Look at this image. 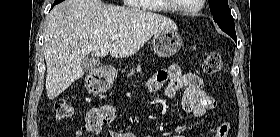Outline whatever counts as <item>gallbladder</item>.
I'll list each match as a JSON object with an SVG mask.
<instances>
[{
	"mask_svg": "<svg viewBox=\"0 0 280 137\" xmlns=\"http://www.w3.org/2000/svg\"><path fill=\"white\" fill-rule=\"evenodd\" d=\"M80 65L84 72H93L98 69L100 61L94 55H87L81 60Z\"/></svg>",
	"mask_w": 280,
	"mask_h": 137,
	"instance_id": "obj_1",
	"label": "gallbladder"
}]
</instances>
